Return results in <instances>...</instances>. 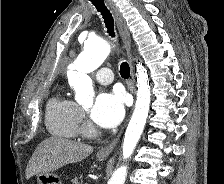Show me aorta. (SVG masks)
<instances>
[{
    "mask_svg": "<svg viewBox=\"0 0 224 184\" xmlns=\"http://www.w3.org/2000/svg\"><path fill=\"white\" fill-rule=\"evenodd\" d=\"M111 51V45L100 38H89L84 44V51L69 66L67 72L70 87L75 91V99L83 105H92L94 91L92 80L88 73L96 70L107 58ZM137 98L132 117L127 126L123 141V159L131 157L141 134L143 133L149 113L151 91L149 77L146 68L137 64ZM127 176V166L117 168L109 184H124Z\"/></svg>",
    "mask_w": 224,
    "mask_h": 184,
    "instance_id": "762f6f07",
    "label": "aorta"
}]
</instances>
